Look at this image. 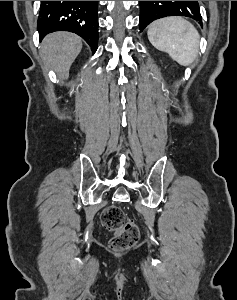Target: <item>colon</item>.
<instances>
[{"mask_svg": "<svg viewBox=\"0 0 237 300\" xmlns=\"http://www.w3.org/2000/svg\"><path fill=\"white\" fill-rule=\"evenodd\" d=\"M101 223L114 233L109 243L113 251H125L137 244L140 237L139 229L133 220L125 218L120 207L111 205L105 208L101 214Z\"/></svg>", "mask_w": 237, "mask_h": 300, "instance_id": "1", "label": "colon"}]
</instances>
